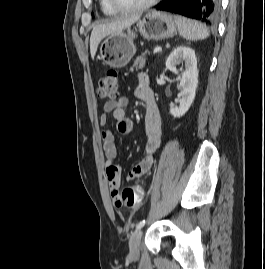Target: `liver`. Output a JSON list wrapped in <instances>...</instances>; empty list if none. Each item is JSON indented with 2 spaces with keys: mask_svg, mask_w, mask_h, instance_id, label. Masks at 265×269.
I'll return each mask as SVG.
<instances>
[{
  "mask_svg": "<svg viewBox=\"0 0 265 269\" xmlns=\"http://www.w3.org/2000/svg\"><path fill=\"white\" fill-rule=\"evenodd\" d=\"M139 19L140 16H133L95 26L90 36V54L92 59H94L98 45L103 38L109 34L122 32L124 29L130 27Z\"/></svg>",
  "mask_w": 265,
  "mask_h": 269,
  "instance_id": "1",
  "label": "liver"
}]
</instances>
